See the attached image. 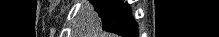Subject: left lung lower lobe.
I'll list each match as a JSON object with an SVG mask.
<instances>
[{"label":"left lung lower lobe","mask_w":219,"mask_h":37,"mask_svg":"<svg viewBox=\"0 0 219 37\" xmlns=\"http://www.w3.org/2000/svg\"><path fill=\"white\" fill-rule=\"evenodd\" d=\"M138 25L131 16V9L127 3L120 7L115 20L106 29L107 32L116 33L123 37H136L138 35Z\"/></svg>","instance_id":"1"}]
</instances>
